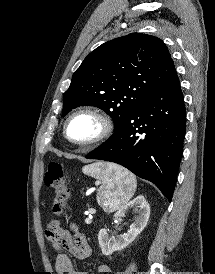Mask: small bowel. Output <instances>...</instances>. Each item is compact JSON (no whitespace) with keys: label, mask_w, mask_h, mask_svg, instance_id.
Here are the masks:
<instances>
[{"label":"small bowel","mask_w":215,"mask_h":274,"mask_svg":"<svg viewBox=\"0 0 215 274\" xmlns=\"http://www.w3.org/2000/svg\"><path fill=\"white\" fill-rule=\"evenodd\" d=\"M47 240L55 252L54 265L57 274H89L87 271H79L73 267L69 256L65 253H58L59 250H66L71 256L79 261L90 259L92 251L83 233L76 225L70 224L69 229H64L55 223L49 225L46 231ZM97 271L102 274L110 272L106 264H98Z\"/></svg>","instance_id":"c3829d8e"}]
</instances>
